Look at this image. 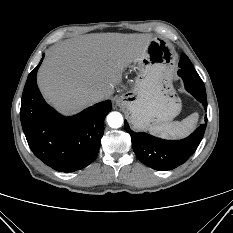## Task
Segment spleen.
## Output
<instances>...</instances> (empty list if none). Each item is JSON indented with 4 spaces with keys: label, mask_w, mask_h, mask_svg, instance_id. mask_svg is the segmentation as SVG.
I'll list each match as a JSON object with an SVG mask.
<instances>
[{
    "label": "spleen",
    "mask_w": 233,
    "mask_h": 233,
    "mask_svg": "<svg viewBox=\"0 0 233 233\" xmlns=\"http://www.w3.org/2000/svg\"><path fill=\"white\" fill-rule=\"evenodd\" d=\"M199 115L197 112L192 113L182 121L162 123L149 128V132L162 138L178 139L186 137L197 125Z\"/></svg>",
    "instance_id": "3e777b00"
}]
</instances>
